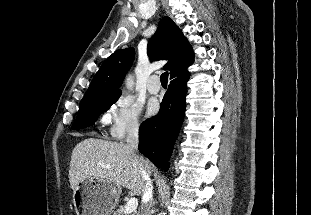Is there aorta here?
<instances>
[{
	"label": "aorta",
	"mask_w": 311,
	"mask_h": 215,
	"mask_svg": "<svg viewBox=\"0 0 311 215\" xmlns=\"http://www.w3.org/2000/svg\"><path fill=\"white\" fill-rule=\"evenodd\" d=\"M126 87L128 90H132L134 86V79L131 75H128L125 79Z\"/></svg>",
	"instance_id": "762f6f07"
}]
</instances>
